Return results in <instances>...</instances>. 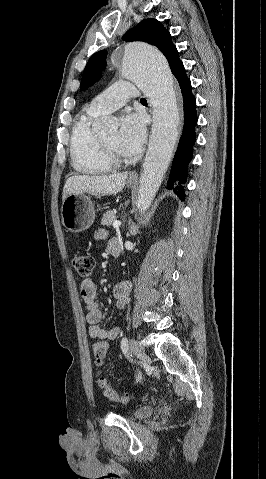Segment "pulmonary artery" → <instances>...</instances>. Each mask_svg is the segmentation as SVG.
<instances>
[{"mask_svg": "<svg viewBox=\"0 0 266 479\" xmlns=\"http://www.w3.org/2000/svg\"><path fill=\"white\" fill-rule=\"evenodd\" d=\"M138 89L128 81H119L98 94L90 102L88 109L104 114L121 108L128 99L138 97Z\"/></svg>", "mask_w": 266, "mask_h": 479, "instance_id": "pulmonary-artery-1", "label": "pulmonary artery"}]
</instances>
